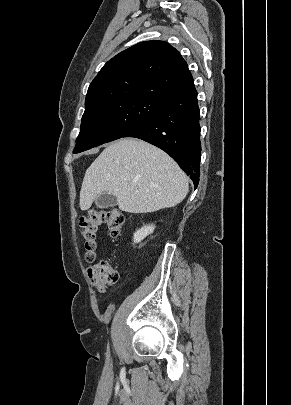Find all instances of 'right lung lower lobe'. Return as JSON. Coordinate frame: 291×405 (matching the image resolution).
I'll use <instances>...</instances> for the list:
<instances>
[{
  "label": "right lung lower lobe",
  "mask_w": 291,
  "mask_h": 405,
  "mask_svg": "<svg viewBox=\"0 0 291 405\" xmlns=\"http://www.w3.org/2000/svg\"><path fill=\"white\" fill-rule=\"evenodd\" d=\"M199 106L195 86L167 99L146 123L128 133L169 154L190 176L195 188L200 176Z\"/></svg>",
  "instance_id": "obj_1"
}]
</instances>
